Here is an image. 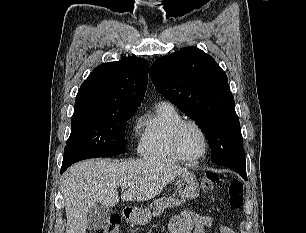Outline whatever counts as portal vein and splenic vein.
Wrapping results in <instances>:
<instances>
[{"mask_svg": "<svg viewBox=\"0 0 306 233\" xmlns=\"http://www.w3.org/2000/svg\"><path fill=\"white\" fill-rule=\"evenodd\" d=\"M129 186H130V184H122L121 187H122L123 189H125V188H128Z\"/></svg>", "mask_w": 306, "mask_h": 233, "instance_id": "obj_1", "label": "portal vein and splenic vein"}]
</instances>
